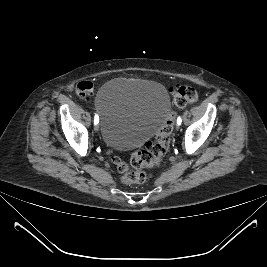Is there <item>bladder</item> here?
<instances>
[{
  "instance_id": "obj_1",
  "label": "bladder",
  "mask_w": 267,
  "mask_h": 267,
  "mask_svg": "<svg viewBox=\"0 0 267 267\" xmlns=\"http://www.w3.org/2000/svg\"><path fill=\"white\" fill-rule=\"evenodd\" d=\"M105 144L115 150L142 145L158 132L171 110L168 91L160 83L115 78L95 99Z\"/></svg>"
}]
</instances>
